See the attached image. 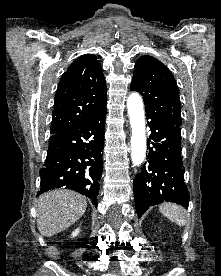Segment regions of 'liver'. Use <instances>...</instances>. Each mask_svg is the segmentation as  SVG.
Here are the masks:
<instances>
[{
	"instance_id": "1",
	"label": "liver",
	"mask_w": 221,
	"mask_h": 276,
	"mask_svg": "<svg viewBox=\"0 0 221 276\" xmlns=\"http://www.w3.org/2000/svg\"><path fill=\"white\" fill-rule=\"evenodd\" d=\"M86 208V198L75 191L59 189L44 193L36 205L38 230L46 237L56 235L80 219Z\"/></svg>"
}]
</instances>
